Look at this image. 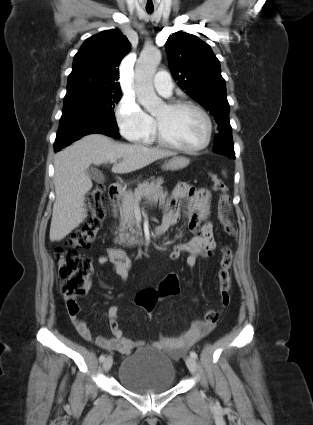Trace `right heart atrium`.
Wrapping results in <instances>:
<instances>
[{"label": "right heart atrium", "mask_w": 313, "mask_h": 425, "mask_svg": "<svg viewBox=\"0 0 313 425\" xmlns=\"http://www.w3.org/2000/svg\"><path fill=\"white\" fill-rule=\"evenodd\" d=\"M115 116L121 134L129 141L144 142L153 133V119L132 97H123L120 100Z\"/></svg>", "instance_id": "d8ad5b80"}]
</instances>
